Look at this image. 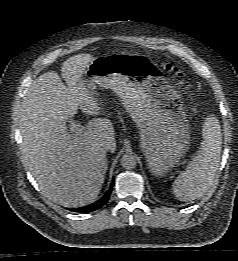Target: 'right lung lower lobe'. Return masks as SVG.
Masks as SVG:
<instances>
[{
  "mask_svg": "<svg viewBox=\"0 0 238 261\" xmlns=\"http://www.w3.org/2000/svg\"><path fill=\"white\" fill-rule=\"evenodd\" d=\"M112 187H113V185L111 184L109 190L98 201H96L93 204H90L88 206L78 208L77 211L78 212H92V211H95V210L103 207L109 200V197L112 192Z\"/></svg>",
  "mask_w": 238,
  "mask_h": 261,
  "instance_id": "right-lung-lower-lobe-1",
  "label": "right lung lower lobe"
}]
</instances>
